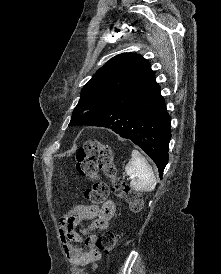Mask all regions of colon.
Here are the masks:
<instances>
[{"mask_svg": "<svg viewBox=\"0 0 221 274\" xmlns=\"http://www.w3.org/2000/svg\"><path fill=\"white\" fill-rule=\"evenodd\" d=\"M76 169L81 176L92 181V185L85 191V197L92 203L105 202L109 195L108 184L100 179V172H103L111 180L115 195L124 199L132 211L141 210V194L130 188L124 179L117 175L113 152L107 145L97 140L85 142L76 153ZM115 245L116 235L110 231L101 234L96 241L97 248L106 254H110Z\"/></svg>", "mask_w": 221, "mask_h": 274, "instance_id": "obj_1", "label": "colon"}]
</instances>
